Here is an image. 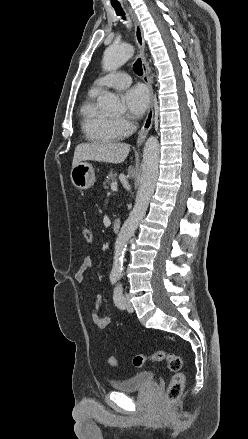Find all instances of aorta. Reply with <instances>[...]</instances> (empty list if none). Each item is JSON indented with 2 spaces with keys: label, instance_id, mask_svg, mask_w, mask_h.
Listing matches in <instances>:
<instances>
[{
  "label": "aorta",
  "instance_id": "obj_1",
  "mask_svg": "<svg viewBox=\"0 0 248 439\" xmlns=\"http://www.w3.org/2000/svg\"><path fill=\"white\" fill-rule=\"evenodd\" d=\"M133 53L134 48L131 45H110L104 52L102 67L106 71L116 70L127 62L132 57ZM99 104L102 110L108 113L117 112L121 110L122 107L119 97L109 92H105L101 96ZM158 164V139L155 136H150L144 146L142 175L135 199V205L130 212L128 219L121 227L115 241L112 274H122L123 259L127 243L144 218L150 199L155 190L158 177Z\"/></svg>",
  "mask_w": 248,
  "mask_h": 439
}]
</instances>
